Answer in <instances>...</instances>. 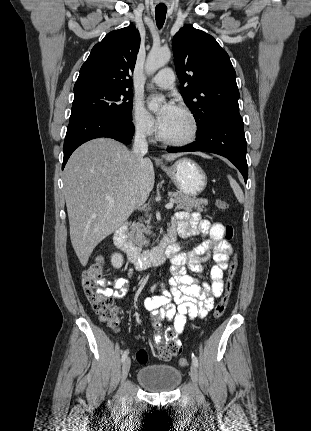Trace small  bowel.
<instances>
[{
    "label": "small bowel",
    "mask_w": 311,
    "mask_h": 431,
    "mask_svg": "<svg viewBox=\"0 0 311 431\" xmlns=\"http://www.w3.org/2000/svg\"><path fill=\"white\" fill-rule=\"evenodd\" d=\"M171 230L183 240L193 242L202 238L189 251H183L181 244H175L170 257L172 278L169 288L161 286V295L147 297L144 307L150 312L152 325L156 329L155 340L163 337L176 340L183 332L188 320L204 317L213 308L214 299L222 295L224 271L232 254L231 245L224 240V226L202 218L198 212L179 211L171 223ZM212 261L210 282L200 281L188 274L203 272V264ZM128 281L115 277L112 287L103 289L108 297L120 298L127 293ZM171 325L161 333V321Z\"/></svg>",
    "instance_id": "small-bowel-1"
}]
</instances>
